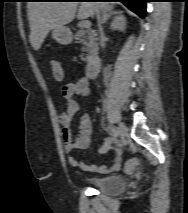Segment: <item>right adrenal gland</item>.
<instances>
[{
  "label": "right adrenal gland",
  "instance_id": "2a0ac1e0",
  "mask_svg": "<svg viewBox=\"0 0 188 213\" xmlns=\"http://www.w3.org/2000/svg\"><path fill=\"white\" fill-rule=\"evenodd\" d=\"M121 13H122L121 11H115L113 9L104 11V12H102L101 22L105 23L111 16L119 15Z\"/></svg>",
  "mask_w": 188,
  "mask_h": 213
}]
</instances>
